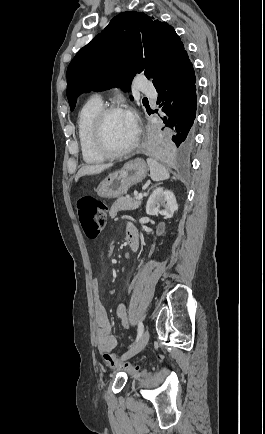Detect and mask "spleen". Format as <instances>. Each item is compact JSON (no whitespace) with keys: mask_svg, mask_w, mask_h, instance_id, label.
<instances>
[{"mask_svg":"<svg viewBox=\"0 0 265 434\" xmlns=\"http://www.w3.org/2000/svg\"><path fill=\"white\" fill-rule=\"evenodd\" d=\"M148 168L150 170V178L154 182H161V180H168L170 174L162 164H159L157 160H152V158H147Z\"/></svg>","mask_w":265,"mask_h":434,"instance_id":"3e777b00","label":"spleen"}]
</instances>
